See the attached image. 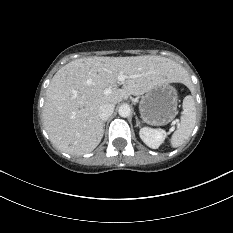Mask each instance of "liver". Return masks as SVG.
<instances>
[{"label":"liver","instance_id":"liver-1","mask_svg":"<svg viewBox=\"0 0 233 233\" xmlns=\"http://www.w3.org/2000/svg\"><path fill=\"white\" fill-rule=\"evenodd\" d=\"M127 78L111 94L104 90ZM186 71L161 56L88 57L69 62L52 78L43 109L44 127L52 144L68 154L83 155L100 143L104 129L98 110L130 95H143L166 83L183 82Z\"/></svg>","mask_w":233,"mask_h":233}]
</instances>
